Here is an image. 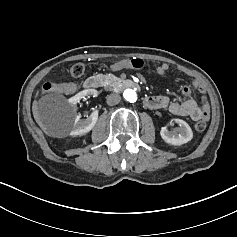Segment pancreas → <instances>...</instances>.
<instances>
[{"label": "pancreas", "instance_id": "obj_1", "mask_svg": "<svg viewBox=\"0 0 237 237\" xmlns=\"http://www.w3.org/2000/svg\"><path fill=\"white\" fill-rule=\"evenodd\" d=\"M102 83L105 85L106 88H110L111 90L117 88L121 84V80L116 77L114 74H105L103 76Z\"/></svg>", "mask_w": 237, "mask_h": 237}]
</instances>
